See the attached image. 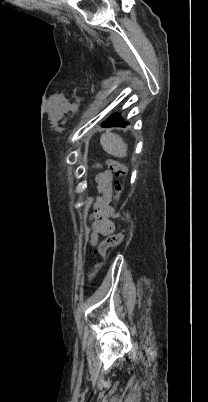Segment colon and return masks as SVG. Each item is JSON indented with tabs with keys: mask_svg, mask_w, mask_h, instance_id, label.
<instances>
[{
	"mask_svg": "<svg viewBox=\"0 0 208 402\" xmlns=\"http://www.w3.org/2000/svg\"><path fill=\"white\" fill-rule=\"evenodd\" d=\"M108 169L111 172L116 173L119 178H126L128 175V166L121 163L115 159L107 161ZM125 190L124 182H117L115 185V191L118 196H120ZM126 238V229H121L118 233L108 235L98 246V253L103 258L106 259L107 251L110 248L119 246ZM103 268V264H98L92 267L90 271V276L94 277L98 271Z\"/></svg>",
	"mask_w": 208,
	"mask_h": 402,
	"instance_id": "obj_1",
	"label": "colon"
}]
</instances>
